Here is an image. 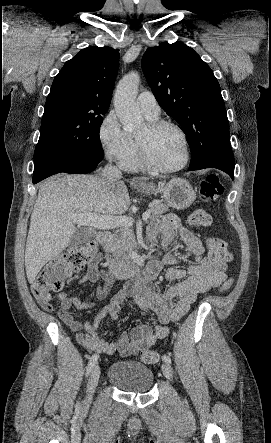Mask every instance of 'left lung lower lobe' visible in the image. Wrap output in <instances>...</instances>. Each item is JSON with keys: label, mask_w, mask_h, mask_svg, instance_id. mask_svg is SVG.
Here are the masks:
<instances>
[{"label": "left lung lower lobe", "mask_w": 271, "mask_h": 443, "mask_svg": "<svg viewBox=\"0 0 271 443\" xmlns=\"http://www.w3.org/2000/svg\"><path fill=\"white\" fill-rule=\"evenodd\" d=\"M204 168H217L220 169L227 174H229L232 178L234 177V163H229L224 160L218 159H205L201 162L190 165L189 170H200Z\"/></svg>", "instance_id": "left-lung-lower-lobe-1"}]
</instances>
